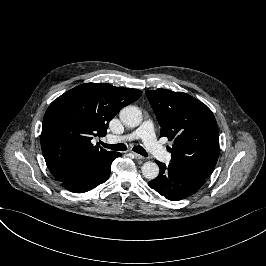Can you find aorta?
Masks as SVG:
<instances>
[{
    "label": "aorta",
    "instance_id": "1",
    "mask_svg": "<svg viewBox=\"0 0 266 266\" xmlns=\"http://www.w3.org/2000/svg\"><path fill=\"white\" fill-rule=\"evenodd\" d=\"M119 119L128 127H136L141 122L142 112L137 106L128 105L120 110ZM159 171V166L155 162H146L142 165V174L147 180L156 179Z\"/></svg>",
    "mask_w": 266,
    "mask_h": 266
}]
</instances>
